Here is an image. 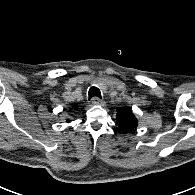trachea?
<instances>
[{
    "instance_id": "1",
    "label": "trachea",
    "mask_w": 195,
    "mask_h": 195,
    "mask_svg": "<svg viewBox=\"0 0 195 195\" xmlns=\"http://www.w3.org/2000/svg\"><path fill=\"white\" fill-rule=\"evenodd\" d=\"M89 99L93 98V97H98L101 98V92L97 87H91L89 89Z\"/></svg>"
}]
</instances>
